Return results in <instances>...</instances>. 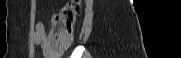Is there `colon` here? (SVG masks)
I'll list each match as a JSON object with an SVG mask.
<instances>
[{
  "label": "colon",
  "instance_id": "5ec220e1",
  "mask_svg": "<svg viewBox=\"0 0 181 58\" xmlns=\"http://www.w3.org/2000/svg\"><path fill=\"white\" fill-rule=\"evenodd\" d=\"M79 9L77 0L70 1L53 15L51 20L52 30L45 41L49 50L62 53L70 46Z\"/></svg>",
  "mask_w": 181,
  "mask_h": 58
}]
</instances>
